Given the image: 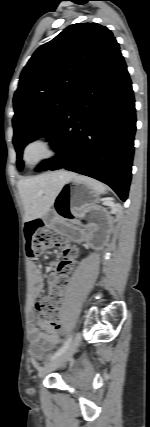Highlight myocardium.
<instances>
[{"mask_svg": "<svg viewBox=\"0 0 150 427\" xmlns=\"http://www.w3.org/2000/svg\"><path fill=\"white\" fill-rule=\"evenodd\" d=\"M43 147L44 155L33 162L27 160V154L34 147ZM58 154V144L55 137L47 132H41L31 137L24 145L21 154V160L28 169H35L43 163L53 159Z\"/></svg>", "mask_w": 150, "mask_h": 427, "instance_id": "obj_1", "label": "myocardium"}]
</instances>
